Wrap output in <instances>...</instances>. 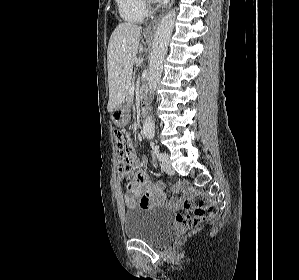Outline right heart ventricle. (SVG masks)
I'll use <instances>...</instances> for the list:
<instances>
[{
	"mask_svg": "<svg viewBox=\"0 0 299 280\" xmlns=\"http://www.w3.org/2000/svg\"><path fill=\"white\" fill-rule=\"evenodd\" d=\"M121 18L129 23H141L148 16L143 0H116Z\"/></svg>",
	"mask_w": 299,
	"mask_h": 280,
	"instance_id": "right-heart-ventricle-1",
	"label": "right heart ventricle"
}]
</instances>
